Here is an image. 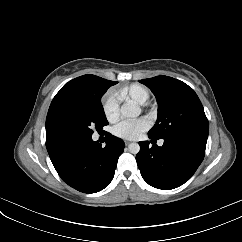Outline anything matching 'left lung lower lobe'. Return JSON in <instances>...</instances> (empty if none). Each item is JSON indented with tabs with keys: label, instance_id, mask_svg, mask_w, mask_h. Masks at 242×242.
Segmentation results:
<instances>
[{
	"label": "left lung lower lobe",
	"instance_id": "left-lung-lower-lobe-1",
	"mask_svg": "<svg viewBox=\"0 0 242 242\" xmlns=\"http://www.w3.org/2000/svg\"><path fill=\"white\" fill-rule=\"evenodd\" d=\"M207 137L182 135L167 138L162 147H149L148 141L139 142L136 161L143 179L152 187L163 190L181 186L203 161Z\"/></svg>",
	"mask_w": 242,
	"mask_h": 242
}]
</instances>
